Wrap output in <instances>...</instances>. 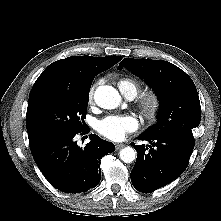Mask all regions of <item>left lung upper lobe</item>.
<instances>
[{
	"instance_id": "5c2ea615",
	"label": "left lung upper lobe",
	"mask_w": 221,
	"mask_h": 221,
	"mask_svg": "<svg viewBox=\"0 0 221 221\" xmlns=\"http://www.w3.org/2000/svg\"><path fill=\"white\" fill-rule=\"evenodd\" d=\"M123 67L149 83L160 100L158 122L143 134L174 137L194 144L192 130L200 124L201 107L192 79L163 60L124 58L118 69Z\"/></svg>"
}]
</instances>
